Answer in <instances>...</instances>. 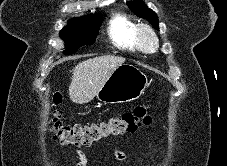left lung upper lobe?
<instances>
[{"mask_svg": "<svg viewBox=\"0 0 227 166\" xmlns=\"http://www.w3.org/2000/svg\"><path fill=\"white\" fill-rule=\"evenodd\" d=\"M133 13L138 17L144 18L149 21L154 27L158 29V18L157 15L146 5L140 1H132L127 3Z\"/></svg>", "mask_w": 227, "mask_h": 166, "instance_id": "left-lung-upper-lobe-1", "label": "left lung upper lobe"}]
</instances>
